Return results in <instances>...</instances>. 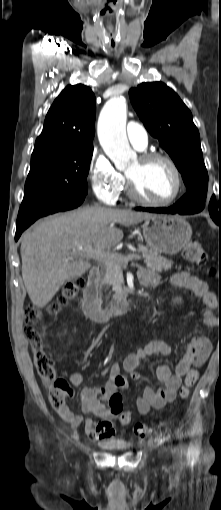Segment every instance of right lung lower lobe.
Listing matches in <instances>:
<instances>
[{
    "label": "right lung lower lobe",
    "mask_w": 221,
    "mask_h": 510,
    "mask_svg": "<svg viewBox=\"0 0 221 510\" xmlns=\"http://www.w3.org/2000/svg\"><path fill=\"white\" fill-rule=\"evenodd\" d=\"M85 198V197H84ZM84 198H79L74 201L67 202L65 204L59 205V206H53L47 210H44L43 212H40L38 214H32L26 209L20 208L17 218V224H16V234H15V240L17 241L22 232L28 228L34 221H36L38 218L53 214L59 211H66L73 208L78 207L82 204L84 201Z\"/></svg>",
    "instance_id": "98d812e1"
}]
</instances>
